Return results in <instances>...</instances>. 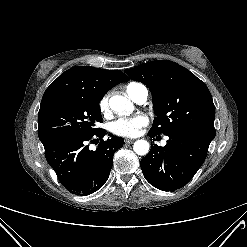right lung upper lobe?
I'll list each match as a JSON object with an SVG mask.
<instances>
[{"mask_svg":"<svg viewBox=\"0 0 247 247\" xmlns=\"http://www.w3.org/2000/svg\"><path fill=\"white\" fill-rule=\"evenodd\" d=\"M128 81L120 70H104L90 66L73 67L62 73L45 91L41 106L79 93L103 95L115 85Z\"/></svg>","mask_w":247,"mask_h":247,"instance_id":"cb5924a9","label":"right lung upper lobe"}]
</instances>
